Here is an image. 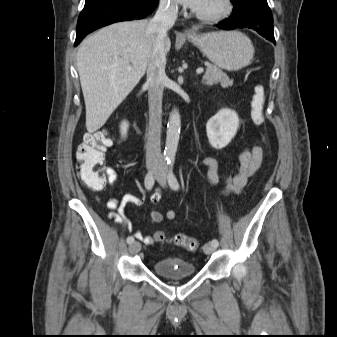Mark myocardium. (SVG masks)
Masks as SVG:
<instances>
[{"mask_svg":"<svg viewBox=\"0 0 337 337\" xmlns=\"http://www.w3.org/2000/svg\"><path fill=\"white\" fill-rule=\"evenodd\" d=\"M221 7L212 13H202L195 11V16L205 22H221L231 16L234 10L233 0H220Z\"/></svg>","mask_w":337,"mask_h":337,"instance_id":"obj_1","label":"myocardium"}]
</instances>
